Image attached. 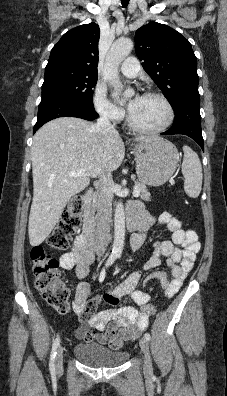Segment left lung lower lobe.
I'll return each instance as SVG.
<instances>
[{
	"label": "left lung lower lobe",
	"instance_id": "left-lung-lower-lobe-1",
	"mask_svg": "<svg viewBox=\"0 0 227 396\" xmlns=\"http://www.w3.org/2000/svg\"><path fill=\"white\" fill-rule=\"evenodd\" d=\"M173 126L164 135L183 134L194 139L204 150L201 133L200 98H186L174 108Z\"/></svg>",
	"mask_w": 227,
	"mask_h": 396
}]
</instances>
